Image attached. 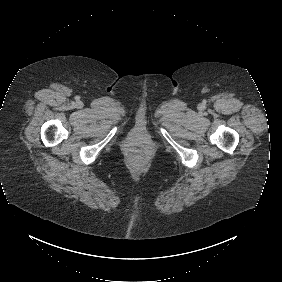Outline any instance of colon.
I'll list each match as a JSON object with an SVG mask.
<instances>
[{
    "label": "colon",
    "mask_w": 282,
    "mask_h": 282,
    "mask_svg": "<svg viewBox=\"0 0 282 282\" xmlns=\"http://www.w3.org/2000/svg\"><path fill=\"white\" fill-rule=\"evenodd\" d=\"M131 161L136 166H143L148 161V154L143 149H136L131 154Z\"/></svg>",
    "instance_id": "colon-1"
}]
</instances>
